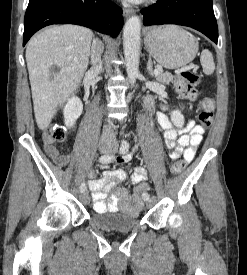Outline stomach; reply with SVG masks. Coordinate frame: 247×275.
<instances>
[{
  "label": "stomach",
  "instance_id": "stomach-1",
  "mask_svg": "<svg viewBox=\"0 0 247 275\" xmlns=\"http://www.w3.org/2000/svg\"><path fill=\"white\" fill-rule=\"evenodd\" d=\"M145 46L154 59L167 69L187 65L198 51L197 39L173 25L147 29Z\"/></svg>",
  "mask_w": 247,
  "mask_h": 275
}]
</instances>
